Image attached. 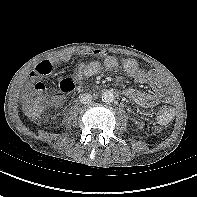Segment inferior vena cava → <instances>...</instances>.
Instances as JSON below:
<instances>
[{"label": "inferior vena cava", "instance_id": "inferior-vena-cava-1", "mask_svg": "<svg viewBox=\"0 0 197 197\" xmlns=\"http://www.w3.org/2000/svg\"><path fill=\"white\" fill-rule=\"evenodd\" d=\"M80 101L83 104H89L92 101V95L89 93H84L80 95Z\"/></svg>", "mask_w": 197, "mask_h": 197}]
</instances>
